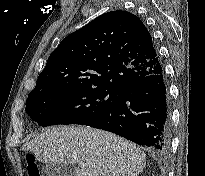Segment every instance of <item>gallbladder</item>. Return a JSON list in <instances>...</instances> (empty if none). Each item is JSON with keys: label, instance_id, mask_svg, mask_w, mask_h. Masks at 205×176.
I'll return each mask as SVG.
<instances>
[{"label": "gallbladder", "instance_id": "gallbladder-1", "mask_svg": "<svg viewBox=\"0 0 205 176\" xmlns=\"http://www.w3.org/2000/svg\"><path fill=\"white\" fill-rule=\"evenodd\" d=\"M42 176H72L73 170L68 164L49 163L41 169Z\"/></svg>", "mask_w": 205, "mask_h": 176}]
</instances>
